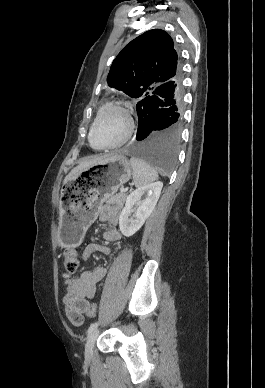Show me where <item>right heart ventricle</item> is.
I'll use <instances>...</instances> for the list:
<instances>
[{"mask_svg":"<svg viewBox=\"0 0 265 388\" xmlns=\"http://www.w3.org/2000/svg\"><path fill=\"white\" fill-rule=\"evenodd\" d=\"M106 107V105H103L100 109H99V113Z\"/></svg>","mask_w":265,"mask_h":388,"instance_id":"1","label":"right heart ventricle"}]
</instances>
